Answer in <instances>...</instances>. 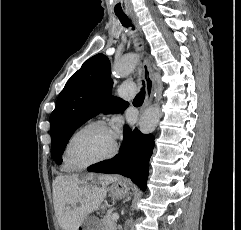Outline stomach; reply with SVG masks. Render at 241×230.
Wrapping results in <instances>:
<instances>
[{
  "mask_svg": "<svg viewBox=\"0 0 241 230\" xmlns=\"http://www.w3.org/2000/svg\"><path fill=\"white\" fill-rule=\"evenodd\" d=\"M88 178V177H87ZM81 183L83 180H79ZM130 188L129 185L122 179L115 181L108 189L109 196L113 200L122 199L129 194ZM107 206V202L100 207L101 210L105 209ZM100 225L90 219H86L83 221L82 225L78 228V230H100Z\"/></svg>",
  "mask_w": 241,
  "mask_h": 230,
  "instance_id": "0dacf381",
  "label": "stomach"
}]
</instances>
